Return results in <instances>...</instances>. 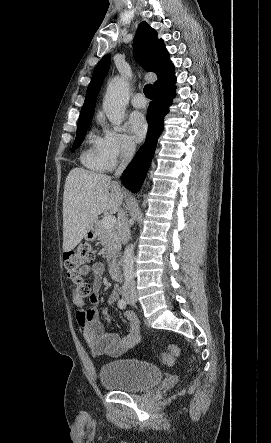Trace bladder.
Instances as JSON below:
<instances>
[{"label": "bladder", "mask_w": 271, "mask_h": 443, "mask_svg": "<svg viewBox=\"0 0 271 443\" xmlns=\"http://www.w3.org/2000/svg\"><path fill=\"white\" fill-rule=\"evenodd\" d=\"M163 378L154 364L138 359H117L101 366V384L111 390L134 392L155 386Z\"/></svg>", "instance_id": "obj_1"}]
</instances>
